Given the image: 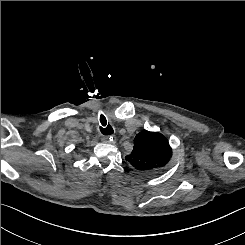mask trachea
Listing matches in <instances>:
<instances>
[{
  "mask_svg": "<svg viewBox=\"0 0 245 245\" xmlns=\"http://www.w3.org/2000/svg\"><path fill=\"white\" fill-rule=\"evenodd\" d=\"M100 131L103 135H112L114 130L113 128L111 127V125L109 123H107V120L105 118L104 115H100Z\"/></svg>",
  "mask_w": 245,
  "mask_h": 245,
  "instance_id": "trachea-1",
  "label": "trachea"
}]
</instances>
